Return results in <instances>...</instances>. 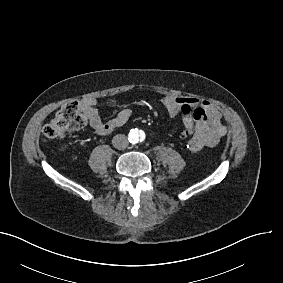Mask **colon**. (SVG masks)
I'll return each mask as SVG.
<instances>
[{
	"label": "colon",
	"instance_id": "5ec220e1",
	"mask_svg": "<svg viewBox=\"0 0 283 283\" xmlns=\"http://www.w3.org/2000/svg\"><path fill=\"white\" fill-rule=\"evenodd\" d=\"M181 108L186 114L183 117V122L186 126L185 132L192 133L197 127L196 120L193 121L192 117L189 115L192 106L189 104H182ZM84 114V107L80 103L71 101L70 105L68 104L60 108L51 121L44 127L42 131V139L45 141L61 139L85 129L88 118Z\"/></svg>",
	"mask_w": 283,
	"mask_h": 283
}]
</instances>
